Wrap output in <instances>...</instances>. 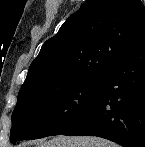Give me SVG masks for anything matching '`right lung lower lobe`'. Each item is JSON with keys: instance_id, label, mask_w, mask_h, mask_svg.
<instances>
[{"instance_id": "right-lung-lower-lobe-1", "label": "right lung lower lobe", "mask_w": 145, "mask_h": 147, "mask_svg": "<svg viewBox=\"0 0 145 147\" xmlns=\"http://www.w3.org/2000/svg\"><path fill=\"white\" fill-rule=\"evenodd\" d=\"M62 134L145 147V39L102 74L93 101Z\"/></svg>"}]
</instances>
